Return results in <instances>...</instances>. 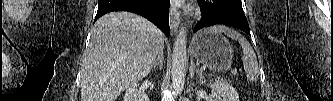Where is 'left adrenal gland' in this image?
Listing matches in <instances>:
<instances>
[{"mask_svg":"<svg viewBox=\"0 0 333 101\" xmlns=\"http://www.w3.org/2000/svg\"><path fill=\"white\" fill-rule=\"evenodd\" d=\"M189 73H190V77L193 78L194 74L197 73V75L199 76L200 80L202 78V73L199 71V69L196 67L193 59H191V64H190V68H189Z\"/></svg>","mask_w":333,"mask_h":101,"instance_id":"a2214340","label":"left adrenal gland"}]
</instances>
